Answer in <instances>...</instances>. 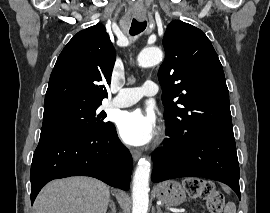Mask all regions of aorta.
Listing matches in <instances>:
<instances>
[{
	"label": "aorta",
	"instance_id": "762f6f07",
	"mask_svg": "<svg viewBox=\"0 0 270 213\" xmlns=\"http://www.w3.org/2000/svg\"><path fill=\"white\" fill-rule=\"evenodd\" d=\"M163 53L157 47L143 49L137 58L141 67H150L162 61ZM150 161L147 158H141L138 161L132 188V213H147L149 204V178H150Z\"/></svg>",
	"mask_w": 270,
	"mask_h": 213
}]
</instances>
